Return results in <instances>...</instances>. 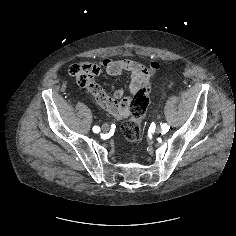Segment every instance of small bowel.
<instances>
[{
    "label": "small bowel",
    "mask_w": 236,
    "mask_h": 236,
    "mask_svg": "<svg viewBox=\"0 0 236 236\" xmlns=\"http://www.w3.org/2000/svg\"><path fill=\"white\" fill-rule=\"evenodd\" d=\"M123 72L130 73V82L126 88L116 90L113 94H106L100 87L95 76L105 73L117 76ZM68 75L77 80V84L87 95H94L97 102L109 113L117 118H125L131 110L134 95L151 83V73L138 61L125 59H111L105 57L97 63L88 59L73 62L68 67Z\"/></svg>",
    "instance_id": "small-bowel-1"
}]
</instances>
